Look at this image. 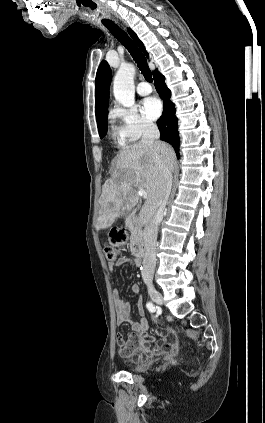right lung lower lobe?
<instances>
[{"label":"right lung lower lobe","instance_id":"98d812e1","mask_svg":"<svg viewBox=\"0 0 265 423\" xmlns=\"http://www.w3.org/2000/svg\"><path fill=\"white\" fill-rule=\"evenodd\" d=\"M164 80V76L156 70L154 72L155 88L164 103L163 114L157 121V125L160 130V139L171 144L179 158L178 119L175 116L174 104L170 101L171 92L166 87Z\"/></svg>","mask_w":265,"mask_h":423}]
</instances>
